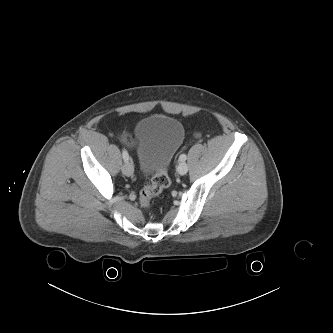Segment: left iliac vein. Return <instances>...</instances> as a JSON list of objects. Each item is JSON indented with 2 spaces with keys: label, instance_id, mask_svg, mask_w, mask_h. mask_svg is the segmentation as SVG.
<instances>
[{
  "label": "left iliac vein",
  "instance_id": "obj_1",
  "mask_svg": "<svg viewBox=\"0 0 333 333\" xmlns=\"http://www.w3.org/2000/svg\"><path fill=\"white\" fill-rule=\"evenodd\" d=\"M177 171L180 175H185L188 172V165L185 162L179 163Z\"/></svg>",
  "mask_w": 333,
  "mask_h": 333
}]
</instances>
